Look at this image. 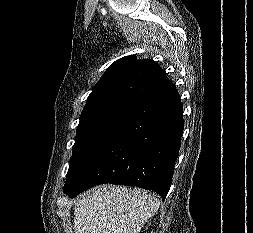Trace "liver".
Wrapping results in <instances>:
<instances>
[{
    "mask_svg": "<svg viewBox=\"0 0 253 233\" xmlns=\"http://www.w3.org/2000/svg\"><path fill=\"white\" fill-rule=\"evenodd\" d=\"M160 201L138 188L99 186L74 206L75 233H139Z\"/></svg>",
    "mask_w": 253,
    "mask_h": 233,
    "instance_id": "obj_1",
    "label": "liver"
}]
</instances>
